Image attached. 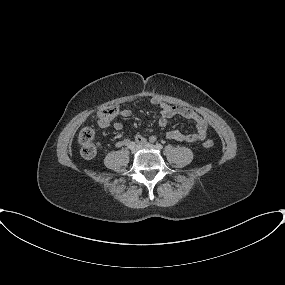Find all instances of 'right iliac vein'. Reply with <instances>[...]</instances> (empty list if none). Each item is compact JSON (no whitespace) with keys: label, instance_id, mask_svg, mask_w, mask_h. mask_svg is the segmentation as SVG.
Segmentation results:
<instances>
[{"label":"right iliac vein","instance_id":"right-iliac-vein-1","mask_svg":"<svg viewBox=\"0 0 285 285\" xmlns=\"http://www.w3.org/2000/svg\"><path fill=\"white\" fill-rule=\"evenodd\" d=\"M139 149H140V146H135L133 149H131V152L135 154L139 151Z\"/></svg>","mask_w":285,"mask_h":285}]
</instances>
